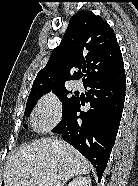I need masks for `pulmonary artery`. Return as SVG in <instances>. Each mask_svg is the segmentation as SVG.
<instances>
[{
    "mask_svg": "<svg viewBox=\"0 0 138 186\" xmlns=\"http://www.w3.org/2000/svg\"><path fill=\"white\" fill-rule=\"evenodd\" d=\"M73 88H74L75 90H78V89L81 88V84H80L78 81H75V82L73 83Z\"/></svg>",
    "mask_w": 138,
    "mask_h": 186,
    "instance_id": "1",
    "label": "pulmonary artery"
}]
</instances>
